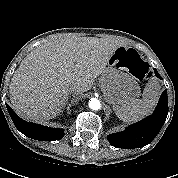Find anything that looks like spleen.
Masks as SVG:
<instances>
[{
  "mask_svg": "<svg viewBox=\"0 0 178 178\" xmlns=\"http://www.w3.org/2000/svg\"><path fill=\"white\" fill-rule=\"evenodd\" d=\"M159 96V84L151 81L144 89L142 99H134L127 104L117 105L114 107V111L122 121L133 122L147 115L155 107Z\"/></svg>",
  "mask_w": 178,
  "mask_h": 178,
  "instance_id": "3e777b00",
  "label": "spleen"
}]
</instances>
